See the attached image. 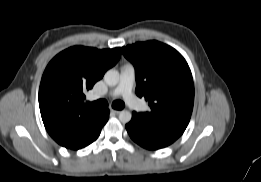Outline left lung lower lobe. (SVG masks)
<instances>
[{
  "label": "left lung lower lobe",
  "instance_id": "1",
  "mask_svg": "<svg viewBox=\"0 0 261 182\" xmlns=\"http://www.w3.org/2000/svg\"><path fill=\"white\" fill-rule=\"evenodd\" d=\"M126 129L133 141L149 150L164 148L182 135L176 130L147 125L135 112Z\"/></svg>",
  "mask_w": 261,
  "mask_h": 182
}]
</instances>
